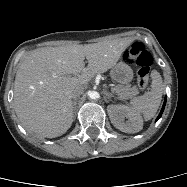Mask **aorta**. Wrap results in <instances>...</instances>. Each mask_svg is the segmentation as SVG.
<instances>
[{
    "instance_id": "762f6f07",
    "label": "aorta",
    "mask_w": 187,
    "mask_h": 187,
    "mask_svg": "<svg viewBox=\"0 0 187 187\" xmlns=\"http://www.w3.org/2000/svg\"><path fill=\"white\" fill-rule=\"evenodd\" d=\"M89 98L91 99H98L100 97L99 93L97 91H90L88 93Z\"/></svg>"
}]
</instances>
